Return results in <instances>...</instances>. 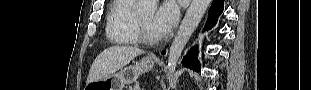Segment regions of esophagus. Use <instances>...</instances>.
<instances>
[{
  "label": "esophagus",
  "mask_w": 311,
  "mask_h": 90,
  "mask_svg": "<svg viewBox=\"0 0 311 90\" xmlns=\"http://www.w3.org/2000/svg\"><path fill=\"white\" fill-rule=\"evenodd\" d=\"M149 57H151V58H157V56H156L155 53H151V54L149 55Z\"/></svg>",
  "instance_id": "1"
}]
</instances>
